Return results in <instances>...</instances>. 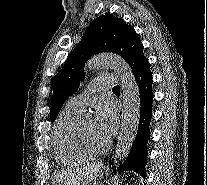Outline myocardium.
<instances>
[{"label":"myocardium","instance_id":"myocardium-1","mask_svg":"<svg viewBox=\"0 0 207 185\" xmlns=\"http://www.w3.org/2000/svg\"><path fill=\"white\" fill-rule=\"evenodd\" d=\"M77 138L82 147L93 155H100L107 152L112 144V141L108 139L103 146L97 147L93 141L85 134L83 130V123L78 125Z\"/></svg>","mask_w":207,"mask_h":185}]
</instances>
